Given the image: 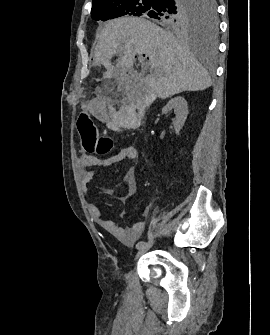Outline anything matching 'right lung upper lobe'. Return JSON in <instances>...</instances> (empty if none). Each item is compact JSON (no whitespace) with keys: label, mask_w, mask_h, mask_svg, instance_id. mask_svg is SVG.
<instances>
[{"label":"right lung upper lobe","mask_w":270,"mask_h":335,"mask_svg":"<svg viewBox=\"0 0 270 335\" xmlns=\"http://www.w3.org/2000/svg\"><path fill=\"white\" fill-rule=\"evenodd\" d=\"M100 1H102V0H93V5L99 3Z\"/></svg>","instance_id":"1"}]
</instances>
